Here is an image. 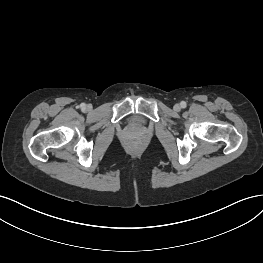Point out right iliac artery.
<instances>
[{"label":"right iliac artery","mask_w":263,"mask_h":263,"mask_svg":"<svg viewBox=\"0 0 263 263\" xmlns=\"http://www.w3.org/2000/svg\"><path fill=\"white\" fill-rule=\"evenodd\" d=\"M85 104L84 103H82L81 105H80V107L82 108V109H84L85 108Z\"/></svg>","instance_id":"right-iliac-artery-1"}]
</instances>
